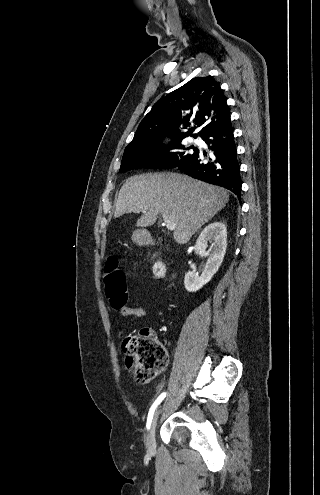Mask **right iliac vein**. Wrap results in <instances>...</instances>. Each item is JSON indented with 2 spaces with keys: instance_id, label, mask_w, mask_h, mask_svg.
<instances>
[{
  "instance_id": "63e3f726",
  "label": "right iliac vein",
  "mask_w": 320,
  "mask_h": 495,
  "mask_svg": "<svg viewBox=\"0 0 320 495\" xmlns=\"http://www.w3.org/2000/svg\"><path fill=\"white\" fill-rule=\"evenodd\" d=\"M160 411H161V409L158 408L156 413H155V417L153 419L151 429H150L149 434L147 436L146 445H147L148 451L151 453H154L156 450L155 430H156V424H157V420H158Z\"/></svg>"
}]
</instances>
